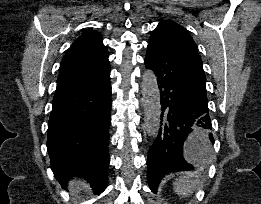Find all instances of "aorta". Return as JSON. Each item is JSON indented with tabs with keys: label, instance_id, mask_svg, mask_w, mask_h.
I'll return each instance as SVG.
<instances>
[{
	"label": "aorta",
	"instance_id": "1",
	"mask_svg": "<svg viewBox=\"0 0 261 204\" xmlns=\"http://www.w3.org/2000/svg\"><path fill=\"white\" fill-rule=\"evenodd\" d=\"M142 96L147 134L156 137L160 128L161 104L157 77L151 69L142 75Z\"/></svg>",
	"mask_w": 261,
	"mask_h": 204
}]
</instances>
